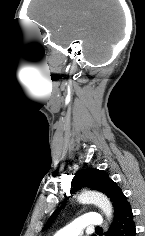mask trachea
<instances>
[{
	"label": "trachea",
	"instance_id": "trachea-1",
	"mask_svg": "<svg viewBox=\"0 0 145 236\" xmlns=\"http://www.w3.org/2000/svg\"><path fill=\"white\" fill-rule=\"evenodd\" d=\"M96 229H101V227H97Z\"/></svg>",
	"mask_w": 145,
	"mask_h": 236
}]
</instances>
